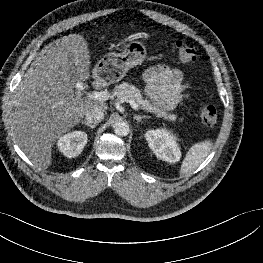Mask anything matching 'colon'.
I'll use <instances>...</instances> for the list:
<instances>
[{"label": "colon", "instance_id": "obj_1", "mask_svg": "<svg viewBox=\"0 0 263 263\" xmlns=\"http://www.w3.org/2000/svg\"><path fill=\"white\" fill-rule=\"evenodd\" d=\"M176 49L180 60L184 64L191 65L196 61V50L186 42L178 40L176 42ZM198 115L204 125L213 126L218 119V110L213 104H205L198 110Z\"/></svg>", "mask_w": 263, "mask_h": 263}]
</instances>
